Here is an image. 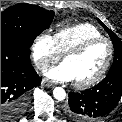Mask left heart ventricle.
<instances>
[{
    "label": "left heart ventricle",
    "mask_w": 122,
    "mask_h": 122,
    "mask_svg": "<svg viewBox=\"0 0 122 122\" xmlns=\"http://www.w3.org/2000/svg\"><path fill=\"white\" fill-rule=\"evenodd\" d=\"M109 54L106 42L90 46L82 54L64 60L69 67L74 82H84L94 77L104 65Z\"/></svg>",
    "instance_id": "left-heart-ventricle-1"
}]
</instances>
